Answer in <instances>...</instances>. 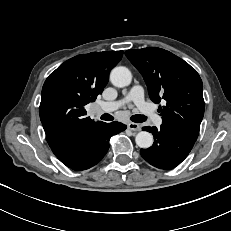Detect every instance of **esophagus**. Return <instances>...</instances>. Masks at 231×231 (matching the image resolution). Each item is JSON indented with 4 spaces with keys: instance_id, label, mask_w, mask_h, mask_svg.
<instances>
[{
    "instance_id": "1",
    "label": "esophagus",
    "mask_w": 231,
    "mask_h": 231,
    "mask_svg": "<svg viewBox=\"0 0 231 231\" xmlns=\"http://www.w3.org/2000/svg\"><path fill=\"white\" fill-rule=\"evenodd\" d=\"M127 127H128V129L129 130H131V131H140L141 130V126L139 125V124H137V123H129L128 125H127Z\"/></svg>"
}]
</instances>
